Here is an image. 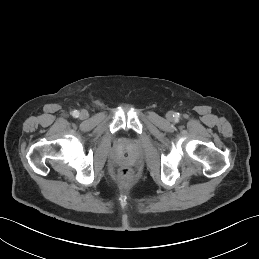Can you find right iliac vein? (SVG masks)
<instances>
[{
  "mask_svg": "<svg viewBox=\"0 0 259 259\" xmlns=\"http://www.w3.org/2000/svg\"><path fill=\"white\" fill-rule=\"evenodd\" d=\"M88 116H89V115H88V112H87L86 110H82V111L80 112V118H81V119H86Z\"/></svg>",
  "mask_w": 259,
  "mask_h": 259,
  "instance_id": "63e3f726",
  "label": "right iliac vein"
}]
</instances>
